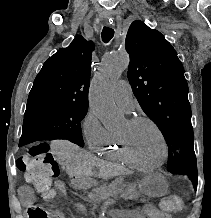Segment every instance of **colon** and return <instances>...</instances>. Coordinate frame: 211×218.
Here are the masks:
<instances>
[{"label":"colon","mask_w":211,"mask_h":218,"mask_svg":"<svg viewBox=\"0 0 211 218\" xmlns=\"http://www.w3.org/2000/svg\"><path fill=\"white\" fill-rule=\"evenodd\" d=\"M17 167L25 173L26 180L35 191L47 199L54 197L53 184L59 168L47 144L33 143L27 153L18 158ZM181 205V199L174 196L163 200L161 207L166 211H176ZM28 218H53V214L40 205H33L28 209Z\"/></svg>","instance_id":"colon-1"}]
</instances>
